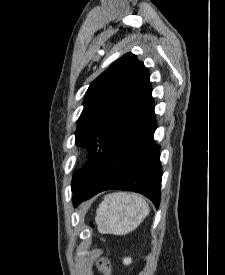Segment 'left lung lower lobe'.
<instances>
[{
    "label": "left lung lower lobe",
    "instance_id": "1",
    "mask_svg": "<svg viewBox=\"0 0 225 275\" xmlns=\"http://www.w3.org/2000/svg\"><path fill=\"white\" fill-rule=\"evenodd\" d=\"M155 129L153 104L73 190L74 206L99 192L122 189L145 195L158 208L162 168Z\"/></svg>",
    "mask_w": 225,
    "mask_h": 275
}]
</instances>
